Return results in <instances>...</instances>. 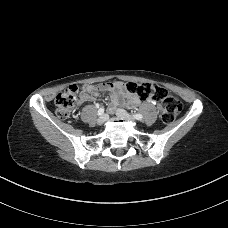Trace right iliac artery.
Segmentation results:
<instances>
[{
  "instance_id": "right-iliac-artery-1",
  "label": "right iliac artery",
  "mask_w": 228,
  "mask_h": 228,
  "mask_svg": "<svg viewBox=\"0 0 228 228\" xmlns=\"http://www.w3.org/2000/svg\"><path fill=\"white\" fill-rule=\"evenodd\" d=\"M104 114V108L101 107L99 110H98V115H103Z\"/></svg>"
}]
</instances>
